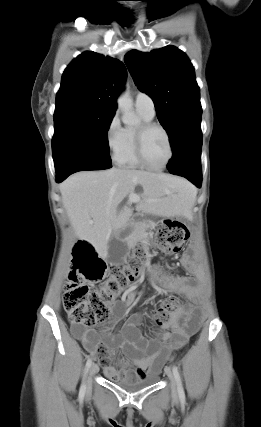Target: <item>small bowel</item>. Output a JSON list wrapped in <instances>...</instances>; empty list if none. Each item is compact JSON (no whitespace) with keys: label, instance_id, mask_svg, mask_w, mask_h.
Here are the masks:
<instances>
[{"label":"small bowel","instance_id":"obj_1","mask_svg":"<svg viewBox=\"0 0 261 427\" xmlns=\"http://www.w3.org/2000/svg\"><path fill=\"white\" fill-rule=\"evenodd\" d=\"M180 266L194 276H177L163 272L158 266L150 270L152 286L159 292L173 291L183 294L188 300L196 304L200 299V288L196 279L199 269L192 256L184 254L180 259ZM137 296V291L132 290L125 294L120 301L112 306V317L101 324L99 329L73 326V335L82 342L85 349L93 355H98L104 373L111 378H144L160 371L169 354L182 348L188 338L196 331L200 323V314L192 308L180 307L169 316L165 331L160 339H147L139 329L142 319L140 313L132 314L125 322L119 336L111 332L121 316L124 307L131 305ZM121 348L127 352H149L143 358H134L136 369L133 373L117 372L111 366L110 353Z\"/></svg>","mask_w":261,"mask_h":427}]
</instances>
